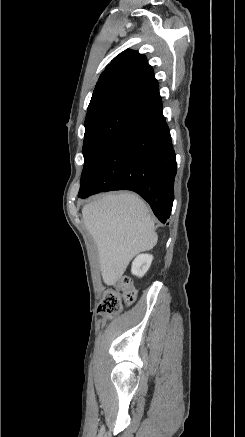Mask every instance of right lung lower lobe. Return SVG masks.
<instances>
[{
	"mask_svg": "<svg viewBox=\"0 0 245 437\" xmlns=\"http://www.w3.org/2000/svg\"><path fill=\"white\" fill-rule=\"evenodd\" d=\"M175 175V152L161 103L143 110L120 132L81 184L78 197L132 190L165 223L172 210Z\"/></svg>",
	"mask_w": 245,
	"mask_h": 437,
	"instance_id": "1",
	"label": "right lung lower lobe"
}]
</instances>
